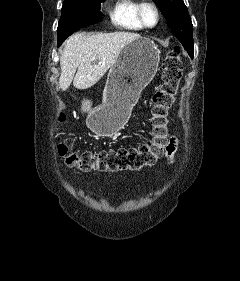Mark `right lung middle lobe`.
Returning <instances> with one entry per match:
<instances>
[{"mask_svg": "<svg viewBox=\"0 0 240 281\" xmlns=\"http://www.w3.org/2000/svg\"><path fill=\"white\" fill-rule=\"evenodd\" d=\"M105 0H64L57 35L58 46L72 33L101 20V2Z\"/></svg>", "mask_w": 240, "mask_h": 281, "instance_id": "right-lung-middle-lobe-1", "label": "right lung middle lobe"}]
</instances>
